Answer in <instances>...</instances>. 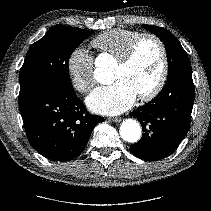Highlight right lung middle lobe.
<instances>
[{
    "mask_svg": "<svg viewBox=\"0 0 211 211\" xmlns=\"http://www.w3.org/2000/svg\"><path fill=\"white\" fill-rule=\"evenodd\" d=\"M93 31L56 26L32 44L19 72L20 92L39 83L57 84L73 90L68 62L77 46Z\"/></svg>",
    "mask_w": 211,
    "mask_h": 211,
    "instance_id": "1",
    "label": "right lung middle lobe"
}]
</instances>
